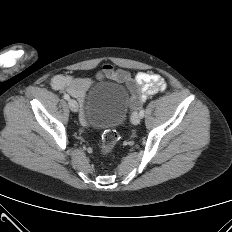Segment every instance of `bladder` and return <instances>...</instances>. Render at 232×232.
Masks as SVG:
<instances>
[{
  "mask_svg": "<svg viewBox=\"0 0 232 232\" xmlns=\"http://www.w3.org/2000/svg\"><path fill=\"white\" fill-rule=\"evenodd\" d=\"M128 105L126 88L114 82L94 86L85 102L87 120L93 127L103 128L123 123Z\"/></svg>",
  "mask_w": 232,
  "mask_h": 232,
  "instance_id": "31cf9c89",
  "label": "bladder"
}]
</instances>
